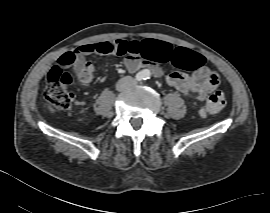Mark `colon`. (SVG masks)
Here are the masks:
<instances>
[{
	"label": "colon",
	"mask_w": 270,
	"mask_h": 213,
	"mask_svg": "<svg viewBox=\"0 0 270 213\" xmlns=\"http://www.w3.org/2000/svg\"><path fill=\"white\" fill-rule=\"evenodd\" d=\"M104 53L147 58L151 47L141 46L137 41L113 40L104 43ZM76 55L74 51L65 52L59 60L48 70L46 74V88L44 92V102L51 111L64 112L68 110L74 101L76 94L70 88L71 77L67 72L69 61ZM188 61L193 67H200L203 58L198 54H189ZM226 105L225 96L221 92H216L208 97L201 107V115L208 116L220 113Z\"/></svg>",
	"instance_id": "1"
}]
</instances>
